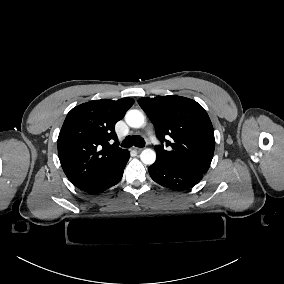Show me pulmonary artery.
I'll list each match as a JSON object with an SVG mask.
<instances>
[{
    "mask_svg": "<svg viewBox=\"0 0 284 284\" xmlns=\"http://www.w3.org/2000/svg\"><path fill=\"white\" fill-rule=\"evenodd\" d=\"M148 140L150 142H153V146L155 148H160L162 146V141L160 139H157V135L155 133H150L148 135Z\"/></svg>",
    "mask_w": 284,
    "mask_h": 284,
    "instance_id": "pulmonary-artery-1",
    "label": "pulmonary artery"
}]
</instances>
